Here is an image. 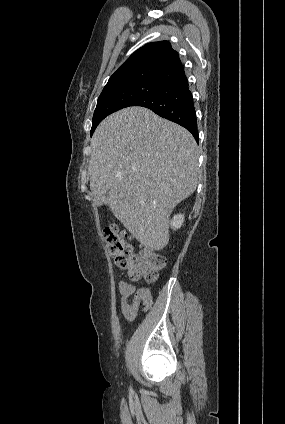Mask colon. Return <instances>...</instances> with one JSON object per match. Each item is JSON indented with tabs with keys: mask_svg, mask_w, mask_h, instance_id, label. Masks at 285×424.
Here are the masks:
<instances>
[{
	"mask_svg": "<svg viewBox=\"0 0 285 424\" xmlns=\"http://www.w3.org/2000/svg\"><path fill=\"white\" fill-rule=\"evenodd\" d=\"M101 231L116 265L127 270L130 279L155 281L159 271L166 266L165 257L158 252L149 249L136 252L127 240V232L119 225H104Z\"/></svg>",
	"mask_w": 285,
	"mask_h": 424,
	"instance_id": "1",
	"label": "colon"
}]
</instances>
